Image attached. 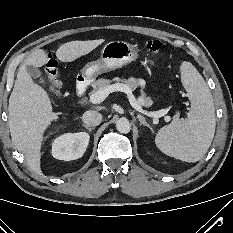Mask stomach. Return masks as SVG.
I'll return each instance as SVG.
<instances>
[{"mask_svg":"<svg viewBox=\"0 0 233 233\" xmlns=\"http://www.w3.org/2000/svg\"><path fill=\"white\" fill-rule=\"evenodd\" d=\"M138 52L134 45L125 41H110L104 45L98 60L89 62L83 67L81 76L87 81H93L102 73L135 61L139 57Z\"/></svg>","mask_w":233,"mask_h":233,"instance_id":"obj_1","label":"stomach"}]
</instances>
